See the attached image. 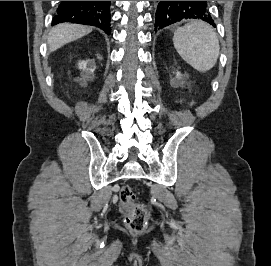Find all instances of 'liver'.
I'll return each instance as SVG.
<instances>
[{
	"instance_id": "liver-1",
	"label": "liver",
	"mask_w": 271,
	"mask_h": 266,
	"mask_svg": "<svg viewBox=\"0 0 271 266\" xmlns=\"http://www.w3.org/2000/svg\"><path fill=\"white\" fill-rule=\"evenodd\" d=\"M92 31L89 26L78 24H58L52 28L48 36L49 51L53 52L65 44L77 40Z\"/></svg>"
}]
</instances>
